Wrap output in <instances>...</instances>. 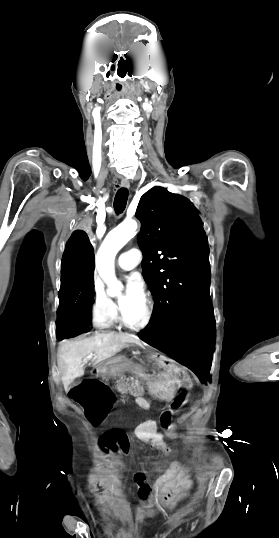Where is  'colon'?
<instances>
[{
    "label": "colon",
    "instance_id": "1",
    "mask_svg": "<svg viewBox=\"0 0 279 538\" xmlns=\"http://www.w3.org/2000/svg\"><path fill=\"white\" fill-rule=\"evenodd\" d=\"M99 444L104 449H112L114 452H126L129 448L127 435L117 429H112L105 432L100 440ZM180 474L185 482H188V470L186 467L180 469ZM135 483L139 486V496L147 500L150 496V487L145 483V475L143 473H137L134 476Z\"/></svg>",
    "mask_w": 279,
    "mask_h": 538
}]
</instances>
